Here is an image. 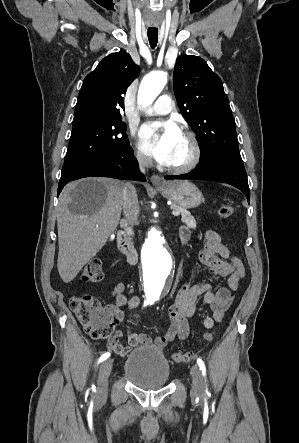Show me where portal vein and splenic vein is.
Segmentation results:
<instances>
[{
  "label": "portal vein and splenic vein",
  "mask_w": 299,
  "mask_h": 443,
  "mask_svg": "<svg viewBox=\"0 0 299 443\" xmlns=\"http://www.w3.org/2000/svg\"><path fill=\"white\" fill-rule=\"evenodd\" d=\"M172 214H173L174 216H179L180 213H179L177 210H173V211H172Z\"/></svg>",
  "instance_id": "1"
}]
</instances>
